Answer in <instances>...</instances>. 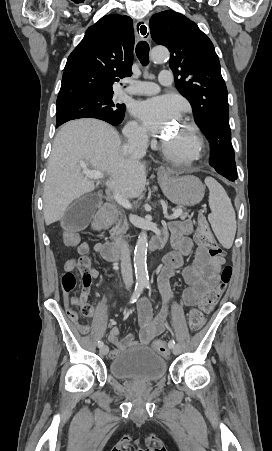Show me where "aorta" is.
Instances as JSON below:
<instances>
[{
	"label": "aorta",
	"mask_w": 272,
	"mask_h": 451,
	"mask_svg": "<svg viewBox=\"0 0 272 451\" xmlns=\"http://www.w3.org/2000/svg\"><path fill=\"white\" fill-rule=\"evenodd\" d=\"M169 52L167 48H153L149 54L150 60L154 64H164L166 60H169ZM147 247H148V237L146 231H141L137 243L134 249V267L136 273L137 281H147L148 271H147Z\"/></svg>",
	"instance_id": "aorta-1"
}]
</instances>
